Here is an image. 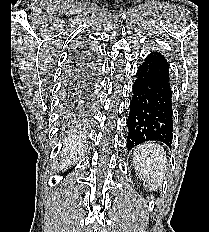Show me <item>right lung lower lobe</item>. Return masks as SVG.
Instances as JSON below:
<instances>
[{"label": "right lung lower lobe", "instance_id": "right-lung-lower-lobe-1", "mask_svg": "<svg viewBox=\"0 0 209 232\" xmlns=\"http://www.w3.org/2000/svg\"><path fill=\"white\" fill-rule=\"evenodd\" d=\"M93 59H94V53L88 49H79L74 58H73V64L80 68L85 69L86 71V76L92 72L93 69ZM77 77V73L75 75Z\"/></svg>", "mask_w": 209, "mask_h": 232}]
</instances>
